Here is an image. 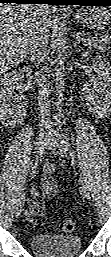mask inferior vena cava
Wrapping results in <instances>:
<instances>
[{"mask_svg":"<svg viewBox=\"0 0 111 257\" xmlns=\"http://www.w3.org/2000/svg\"><path fill=\"white\" fill-rule=\"evenodd\" d=\"M47 45H48V29L45 26L39 24L36 28L35 33L32 36V40L30 43V52L33 61L37 65H41L44 63L45 57L47 56ZM46 67H42L41 69V77L39 79V110H40V128L41 129H49L50 128V103H49V85L47 83L46 75L44 74Z\"/></svg>","mask_w":111,"mask_h":257,"instance_id":"1","label":"inferior vena cava"}]
</instances>
